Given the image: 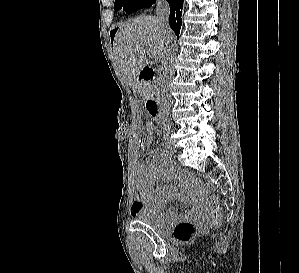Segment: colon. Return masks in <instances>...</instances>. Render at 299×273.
<instances>
[{"mask_svg":"<svg viewBox=\"0 0 299 273\" xmlns=\"http://www.w3.org/2000/svg\"><path fill=\"white\" fill-rule=\"evenodd\" d=\"M144 146L149 147L152 140L148 137L144 138ZM204 217L212 224L218 222L219 206L215 196H208L204 202ZM206 229L205 225L194 224L189 221H182L175 225L173 236L177 241L186 242L192 239L197 233H201Z\"/></svg>","mask_w":299,"mask_h":273,"instance_id":"obj_1","label":"colon"}]
</instances>
